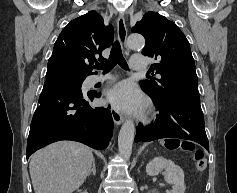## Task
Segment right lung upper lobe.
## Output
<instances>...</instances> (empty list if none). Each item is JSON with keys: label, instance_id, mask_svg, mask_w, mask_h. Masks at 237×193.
Wrapping results in <instances>:
<instances>
[{"label": "right lung upper lobe", "instance_id": "1", "mask_svg": "<svg viewBox=\"0 0 237 193\" xmlns=\"http://www.w3.org/2000/svg\"><path fill=\"white\" fill-rule=\"evenodd\" d=\"M112 42V26H105L101 15L90 11L72 20L60 33L48 60L47 71L57 70L86 78L93 74L94 56L101 54Z\"/></svg>", "mask_w": 237, "mask_h": 193}]
</instances>
